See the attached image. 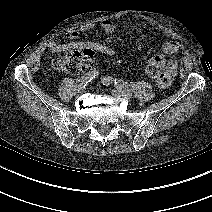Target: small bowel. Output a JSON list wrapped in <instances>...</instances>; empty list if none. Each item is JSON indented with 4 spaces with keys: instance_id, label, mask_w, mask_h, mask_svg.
<instances>
[{
    "instance_id": "obj_1",
    "label": "small bowel",
    "mask_w": 212,
    "mask_h": 212,
    "mask_svg": "<svg viewBox=\"0 0 212 212\" xmlns=\"http://www.w3.org/2000/svg\"><path fill=\"white\" fill-rule=\"evenodd\" d=\"M100 28L107 36H112L116 31L114 23L108 19H104L101 21ZM95 29L96 27L92 24H83L78 29H73L66 32L65 36L68 39V42L59 43L55 40H52L48 43L47 49L51 54L65 52L68 50L90 49L105 54L107 56H115L117 54V51L111 46L101 43L77 40L80 33L90 32ZM180 49H181L180 44L173 40H167L162 45V51L166 55H175L179 53ZM150 60L163 62L164 68L167 72V76L164 80L157 82L161 88L168 87L172 82V80L174 79V77L176 76L178 67L177 61L174 59L166 60L163 56L160 55L154 56Z\"/></svg>"
}]
</instances>
